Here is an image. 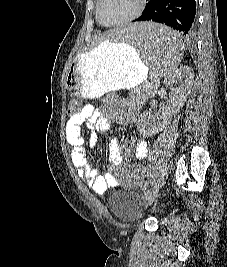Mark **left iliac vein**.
<instances>
[{
    "label": "left iliac vein",
    "mask_w": 227,
    "mask_h": 267,
    "mask_svg": "<svg viewBox=\"0 0 227 267\" xmlns=\"http://www.w3.org/2000/svg\"><path fill=\"white\" fill-rule=\"evenodd\" d=\"M160 184L156 183L154 184L146 193L144 196L145 206L147 207L157 196V193L159 191Z\"/></svg>",
    "instance_id": "left-iliac-vein-1"
}]
</instances>
